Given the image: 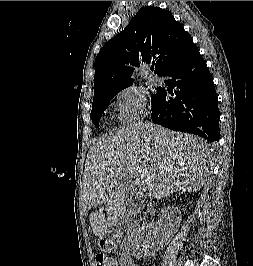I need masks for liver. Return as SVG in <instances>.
Returning a JSON list of instances; mask_svg holds the SVG:
<instances>
[{"instance_id":"6515ba94","label":"liver","mask_w":253,"mask_h":266,"mask_svg":"<svg viewBox=\"0 0 253 266\" xmlns=\"http://www.w3.org/2000/svg\"><path fill=\"white\" fill-rule=\"evenodd\" d=\"M212 152L199 136L152 123L123 127L96 142L89 149L83 178L91 232L100 238L125 219V179H138L145 196L157 200L175 189L196 192L205 183Z\"/></svg>"}]
</instances>
